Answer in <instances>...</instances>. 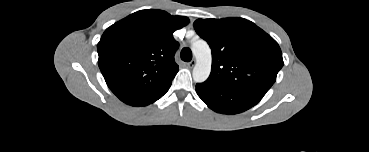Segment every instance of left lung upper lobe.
<instances>
[{"mask_svg":"<svg viewBox=\"0 0 369 152\" xmlns=\"http://www.w3.org/2000/svg\"><path fill=\"white\" fill-rule=\"evenodd\" d=\"M198 35L212 50L208 82L263 97L283 66L278 43L253 22L243 18L198 19Z\"/></svg>","mask_w":369,"mask_h":152,"instance_id":"left-lung-upper-lobe-1","label":"left lung upper lobe"}]
</instances>
